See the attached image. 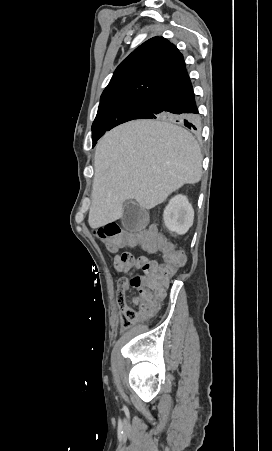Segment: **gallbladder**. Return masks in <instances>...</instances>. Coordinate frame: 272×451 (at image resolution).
Instances as JSON below:
<instances>
[{
    "instance_id": "gallbladder-1",
    "label": "gallbladder",
    "mask_w": 272,
    "mask_h": 451,
    "mask_svg": "<svg viewBox=\"0 0 272 451\" xmlns=\"http://www.w3.org/2000/svg\"><path fill=\"white\" fill-rule=\"evenodd\" d=\"M122 226L129 231H139L144 229L149 222V214L147 210L141 208L137 202H125L123 206V214L121 218Z\"/></svg>"
}]
</instances>
